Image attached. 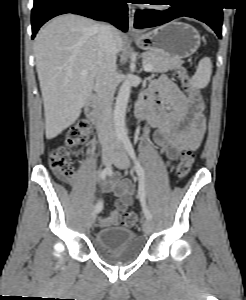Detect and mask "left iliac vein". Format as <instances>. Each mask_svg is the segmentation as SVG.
<instances>
[{"mask_svg":"<svg viewBox=\"0 0 246 300\" xmlns=\"http://www.w3.org/2000/svg\"><path fill=\"white\" fill-rule=\"evenodd\" d=\"M114 165L119 168V169H127L130 165V161L128 158V155L126 153V151L121 148L115 155V159H114ZM142 228L144 233L146 234H150L153 231V223L151 221V219H144L143 220V224H142Z\"/></svg>","mask_w":246,"mask_h":300,"instance_id":"left-iliac-vein-1","label":"left iliac vein"}]
</instances>
